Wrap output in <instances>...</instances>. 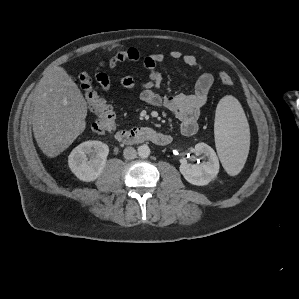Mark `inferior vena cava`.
I'll list each match as a JSON object with an SVG mask.
<instances>
[{"label": "inferior vena cava", "mask_w": 299, "mask_h": 299, "mask_svg": "<svg viewBox=\"0 0 299 299\" xmlns=\"http://www.w3.org/2000/svg\"><path fill=\"white\" fill-rule=\"evenodd\" d=\"M137 152L133 147H126L123 151V156L127 160L136 158Z\"/></svg>", "instance_id": "1"}]
</instances>
